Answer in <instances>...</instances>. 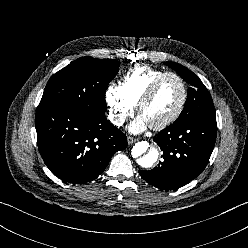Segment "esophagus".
<instances>
[{
  "instance_id": "esophagus-1",
  "label": "esophagus",
  "mask_w": 248,
  "mask_h": 248,
  "mask_svg": "<svg viewBox=\"0 0 248 248\" xmlns=\"http://www.w3.org/2000/svg\"><path fill=\"white\" fill-rule=\"evenodd\" d=\"M127 140H128V144L131 145V144L135 143L138 139L129 136V137L127 138Z\"/></svg>"
}]
</instances>
